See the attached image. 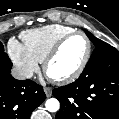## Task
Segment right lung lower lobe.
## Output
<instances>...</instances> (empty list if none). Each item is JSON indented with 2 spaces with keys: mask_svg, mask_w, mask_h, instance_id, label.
Returning a JSON list of instances; mask_svg holds the SVG:
<instances>
[{
  "mask_svg": "<svg viewBox=\"0 0 119 119\" xmlns=\"http://www.w3.org/2000/svg\"><path fill=\"white\" fill-rule=\"evenodd\" d=\"M11 67L0 64V119H29L46 98L42 86L31 80H16Z\"/></svg>",
  "mask_w": 119,
  "mask_h": 119,
  "instance_id": "obj_1",
  "label": "right lung lower lobe"
}]
</instances>
